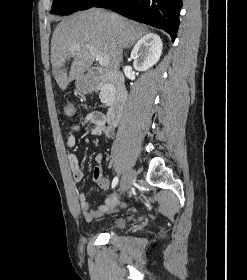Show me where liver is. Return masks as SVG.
I'll return each mask as SVG.
<instances>
[{
    "instance_id": "6515ba94",
    "label": "liver",
    "mask_w": 247,
    "mask_h": 280,
    "mask_svg": "<svg viewBox=\"0 0 247 280\" xmlns=\"http://www.w3.org/2000/svg\"><path fill=\"white\" fill-rule=\"evenodd\" d=\"M146 33L144 27L120 15L91 8L61 21L51 39V64L57 84L66 90L69 83L87 71L94 56L86 46L109 57V71H118L123 48ZM79 45V50L72 47ZM73 59L69 76L66 61Z\"/></svg>"
}]
</instances>
